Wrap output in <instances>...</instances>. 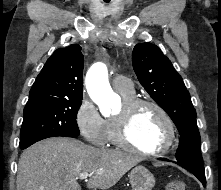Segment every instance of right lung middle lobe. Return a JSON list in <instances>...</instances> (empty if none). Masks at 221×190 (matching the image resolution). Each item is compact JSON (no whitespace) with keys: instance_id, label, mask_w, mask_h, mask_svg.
<instances>
[{"instance_id":"1","label":"right lung middle lobe","mask_w":221,"mask_h":190,"mask_svg":"<svg viewBox=\"0 0 221 190\" xmlns=\"http://www.w3.org/2000/svg\"><path fill=\"white\" fill-rule=\"evenodd\" d=\"M81 104V101H59L26 105L20 131L21 149L49 137L79 136L76 118Z\"/></svg>"}]
</instances>
